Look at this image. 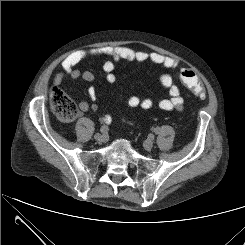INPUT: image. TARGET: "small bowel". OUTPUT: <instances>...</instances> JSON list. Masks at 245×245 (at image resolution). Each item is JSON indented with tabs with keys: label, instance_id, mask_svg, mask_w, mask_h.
Masks as SVG:
<instances>
[{
	"label": "small bowel",
	"instance_id": "1",
	"mask_svg": "<svg viewBox=\"0 0 245 245\" xmlns=\"http://www.w3.org/2000/svg\"><path fill=\"white\" fill-rule=\"evenodd\" d=\"M107 56L110 60L106 61L103 65V69L106 73V80L109 83H115L117 78L115 75L116 63L120 61L127 62H146L150 61L153 64L160 65L165 69H175L178 67V61L175 58L165 56L159 53H148L144 51H134L127 47L113 46L105 47L101 49H93L88 51H78L69 55L61 64L62 72L54 76L53 82L59 84L63 81L65 76H70L73 79L81 78L84 81H92L94 75L88 70H79L76 66L88 57ZM162 87L168 92L169 97L162 99L158 106L165 111H182L183 110V98L180 94V89L176 85L169 74H163L160 77ZM88 95L91 100H95L97 92L95 88L90 87L88 89ZM153 107V101L149 97L141 98L137 95H132L127 99V109H141L148 111ZM79 108L82 112L87 111L90 106L86 101L79 102ZM96 105H92V109H96ZM111 118L109 115L102 117V121L110 123Z\"/></svg>",
	"mask_w": 245,
	"mask_h": 245
}]
</instances>
